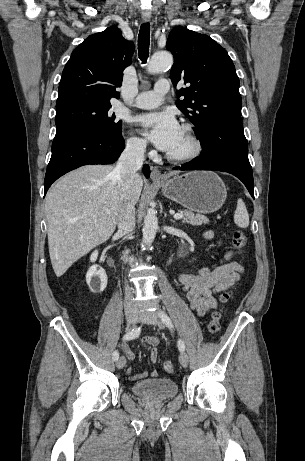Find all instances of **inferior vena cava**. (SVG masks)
Masks as SVG:
<instances>
[{
	"mask_svg": "<svg viewBox=\"0 0 305 461\" xmlns=\"http://www.w3.org/2000/svg\"><path fill=\"white\" fill-rule=\"evenodd\" d=\"M144 143H128L122 152L115 167V175L121 190L119 209L117 213L118 231L122 234H130L135 227V203L131 193L137 171L144 161ZM125 306L134 307L135 302L128 286L125 287Z\"/></svg>",
	"mask_w": 305,
	"mask_h": 461,
	"instance_id": "602c4592",
	"label": "inferior vena cava"
}]
</instances>
